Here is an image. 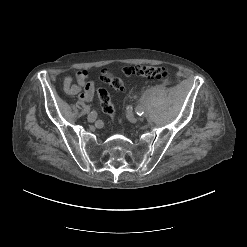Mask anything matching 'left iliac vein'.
Wrapping results in <instances>:
<instances>
[{
  "label": "left iliac vein",
  "mask_w": 247,
  "mask_h": 247,
  "mask_svg": "<svg viewBox=\"0 0 247 247\" xmlns=\"http://www.w3.org/2000/svg\"><path fill=\"white\" fill-rule=\"evenodd\" d=\"M127 118L132 122L135 123L137 121V118L135 117V115L133 114V112H128L127 113Z\"/></svg>",
  "instance_id": "4c4485c4"
}]
</instances>
